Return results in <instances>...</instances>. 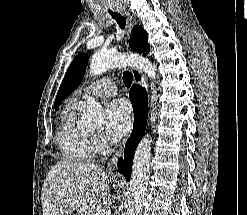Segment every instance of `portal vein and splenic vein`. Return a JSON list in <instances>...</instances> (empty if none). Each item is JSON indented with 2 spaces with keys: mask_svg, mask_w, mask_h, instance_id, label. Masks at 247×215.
Masks as SVG:
<instances>
[{
  "mask_svg": "<svg viewBox=\"0 0 247 215\" xmlns=\"http://www.w3.org/2000/svg\"><path fill=\"white\" fill-rule=\"evenodd\" d=\"M95 215H107V210L98 207Z\"/></svg>",
  "mask_w": 247,
  "mask_h": 215,
  "instance_id": "1",
  "label": "portal vein and splenic vein"
}]
</instances>
